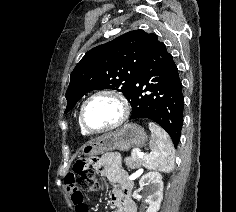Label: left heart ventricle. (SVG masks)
Masks as SVG:
<instances>
[{
    "instance_id": "obj_1",
    "label": "left heart ventricle",
    "mask_w": 236,
    "mask_h": 212,
    "mask_svg": "<svg viewBox=\"0 0 236 212\" xmlns=\"http://www.w3.org/2000/svg\"><path fill=\"white\" fill-rule=\"evenodd\" d=\"M120 114L118 103L106 96L92 100L84 111L85 124L91 129L103 128L113 123Z\"/></svg>"
}]
</instances>
